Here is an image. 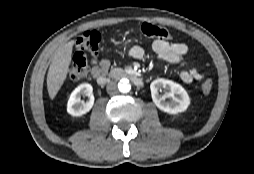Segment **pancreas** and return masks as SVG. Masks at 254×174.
Returning a JSON list of instances; mask_svg holds the SVG:
<instances>
[{"mask_svg":"<svg viewBox=\"0 0 254 174\" xmlns=\"http://www.w3.org/2000/svg\"><path fill=\"white\" fill-rule=\"evenodd\" d=\"M122 72H123V70L120 68H112L110 74L112 77H115L116 73H122Z\"/></svg>","mask_w":254,"mask_h":174,"instance_id":"cf45deb5","label":"pancreas"}]
</instances>
